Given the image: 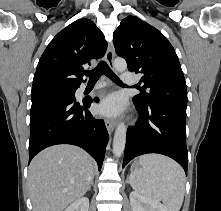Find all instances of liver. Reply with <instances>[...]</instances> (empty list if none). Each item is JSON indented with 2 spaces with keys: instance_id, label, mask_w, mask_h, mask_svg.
Instances as JSON below:
<instances>
[{
  "instance_id": "6515ba94",
  "label": "liver",
  "mask_w": 221,
  "mask_h": 211,
  "mask_svg": "<svg viewBox=\"0 0 221 211\" xmlns=\"http://www.w3.org/2000/svg\"><path fill=\"white\" fill-rule=\"evenodd\" d=\"M94 160L83 149L55 145L30 163L28 185L33 211H63L89 190Z\"/></svg>"
}]
</instances>
